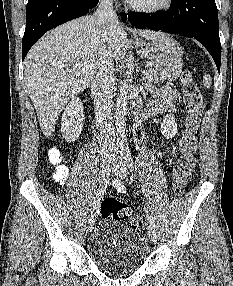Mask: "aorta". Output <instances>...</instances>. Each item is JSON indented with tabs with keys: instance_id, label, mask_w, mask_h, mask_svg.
I'll list each match as a JSON object with an SVG mask.
<instances>
[{
	"instance_id": "aorta-1",
	"label": "aorta",
	"mask_w": 233,
	"mask_h": 286,
	"mask_svg": "<svg viewBox=\"0 0 233 286\" xmlns=\"http://www.w3.org/2000/svg\"><path fill=\"white\" fill-rule=\"evenodd\" d=\"M128 83L123 80L119 87V92L116 100V110H115V119H116V135L117 141L123 142L125 140V126H126V115L128 109Z\"/></svg>"
}]
</instances>
